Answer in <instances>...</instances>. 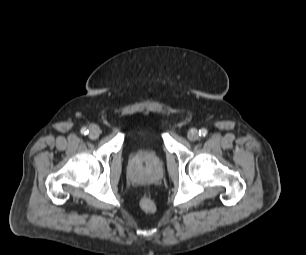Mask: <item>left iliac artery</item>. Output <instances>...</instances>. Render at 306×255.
<instances>
[{"label": "left iliac artery", "instance_id": "left-iliac-artery-1", "mask_svg": "<svg viewBox=\"0 0 306 255\" xmlns=\"http://www.w3.org/2000/svg\"><path fill=\"white\" fill-rule=\"evenodd\" d=\"M208 131L205 128H202L199 130V135L202 137H205L207 135Z\"/></svg>", "mask_w": 306, "mask_h": 255}]
</instances>
